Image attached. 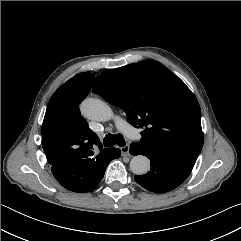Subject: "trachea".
I'll list each match as a JSON object with an SVG mask.
<instances>
[{"instance_id": "obj_1", "label": "trachea", "mask_w": 241, "mask_h": 241, "mask_svg": "<svg viewBox=\"0 0 241 241\" xmlns=\"http://www.w3.org/2000/svg\"><path fill=\"white\" fill-rule=\"evenodd\" d=\"M103 143H104L105 147H112L115 144H117L120 147H123V146L126 145L124 137H123L122 134H115V135L107 134L104 137Z\"/></svg>"}]
</instances>
